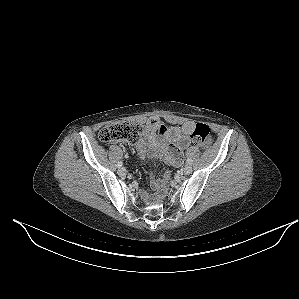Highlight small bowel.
Wrapping results in <instances>:
<instances>
[{
  "instance_id": "obj_1",
  "label": "small bowel",
  "mask_w": 299,
  "mask_h": 299,
  "mask_svg": "<svg viewBox=\"0 0 299 299\" xmlns=\"http://www.w3.org/2000/svg\"><path fill=\"white\" fill-rule=\"evenodd\" d=\"M195 125L193 121H186L180 126L166 127L158 117L149 118L143 137L136 143L139 157L162 159L172 167L180 166L183 162V151L191 144L190 135ZM162 183L153 177L150 179L151 187L155 190H158Z\"/></svg>"
}]
</instances>
